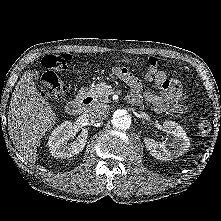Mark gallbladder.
<instances>
[{
    "label": "gallbladder",
    "instance_id": "1",
    "mask_svg": "<svg viewBox=\"0 0 221 221\" xmlns=\"http://www.w3.org/2000/svg\"><path fill=\"white\" fill-rule=\"evenodd\" d=\"M32 78L37 80L39 78V72L36 70L31 71Z\"/></svg>",
    "mask_w": 221,
    "mask_h": 221
}]
</instances>
